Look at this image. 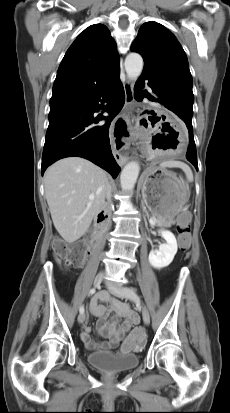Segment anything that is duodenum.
Segmentation results:
<instances>
[{"mask_svg":"<svg viewBox=\"0 0 230 413\" xmlns=\"http://www.w3.org/2000/svg\"><path fill=\"white\" fill-rule=\"evenodd\" d=\"M108 220V214L106 212V210H101L96 217V225L98 227V229H102L103 226L106 224Z\"/></svg>","mask_w":230,"mask_h":413,"instance_id":"1","label":"duodenum"}]
</instances>
